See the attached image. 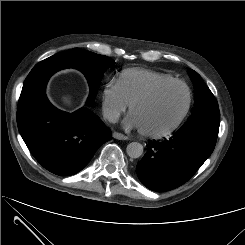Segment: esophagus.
<instances>
[{"label": "esophagus", "instance_id": "1", "mask_svg": "<svg viewBox=\"0 0 245 245\" xmlns=\"http://www.w3.org/2000/svg\"><path fill=\"white\" fill-rule=\"evenodd\" d=\"M112 136L118 140H128L129 139L128 136H126L122 133H119V132H113Z\"/></svg>", "mask_w": 245, "mask_h": 245}]
</instances>
